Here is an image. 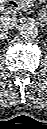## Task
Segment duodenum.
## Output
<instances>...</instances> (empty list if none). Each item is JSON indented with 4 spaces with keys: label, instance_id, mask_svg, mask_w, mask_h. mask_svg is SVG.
Masks as SVG:
<instances>
[{
    "label": "duodenum",
    "instance_id": "duodenum-1",
    "mask_svg": "<svg viewBox=\"0 0 47 129\" xmlns=\"http://www.w3.org/2000/svg\"><path fill=\"white\" fill-rule=\"evenodd\" d=\"M18 7L17 3L13 0H4L2 3V11L5 14L13 12Z\"/></svg>",
    "mask_w": 47,
    "mask_h": 129
}]
</instances>
